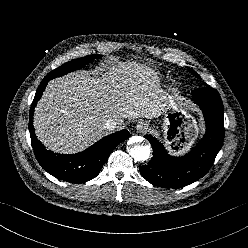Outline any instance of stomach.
Returning a JSON list of instances; mask_svg holds the SVG:
<instances>
[{"label": "stomach", "mask_w": 248, "mask_h": 248, "mask_svg": "<svg viewBox=\"0 0 248 248\" xmlns=\"http://www.w3.org/2000/svg\"><path fill=\"white\" fill-rule=\"evenodd\" d=\"M162 133L172 152L185 153L199 133V125L193 116L171 97L165 100Z\"/></svg>", "instance_id": "1"}]
</instances>
